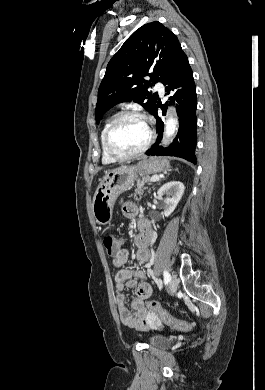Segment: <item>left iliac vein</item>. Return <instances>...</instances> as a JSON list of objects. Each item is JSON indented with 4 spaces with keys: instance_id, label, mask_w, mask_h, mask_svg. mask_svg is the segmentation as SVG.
<instances>
[{
    "instance_id": "4c4485c4",
    "label": "left iliac vein",
    "mask_w": 265,
    "mask_h": 390,
    "mask_svg": "<svg viewBox=\"0 0 265 390\" xmlns=\"http://www.w3.org/2000/svg\"><path fill=\"white\" fill-rule=\"evenodd\" d=\"M177 288H178V278L176 275H172L170 280L171 293H175L177 291Z\"/></svg>"
}]
</instances>
